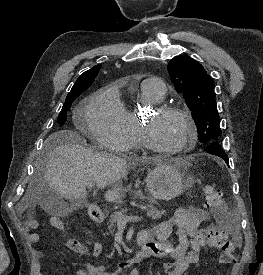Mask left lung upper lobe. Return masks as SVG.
I'll list each match as a JSON object with an SVG mask.
<instances>
[{
  "instance_id": "1",
  "label": "left lung upper lobe",
  "mask_w": 263,
  "mask_h": 275,
  "mask_svg": "<svg viewBox=\"0 0 263 275\" xmlns=\"http://www.w3.org/2000/svg\"><path fill=\"white\" fill-rule=\"evenodd\" d=\"M168 72L175 89L184 95L192 111L200 142L205 145L219 142L222 131L213 78L199 62L188 56L173 58L168 64Z\"/></svg>"
}]
</instances>
